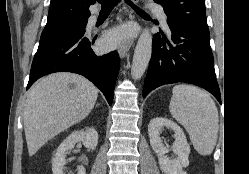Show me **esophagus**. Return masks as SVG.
I'll list each match as a JSON object with an SVG mask.
<instances>
[{"mask_svg": "<svg viewBox=\"0 0 249 174\" xmlns=\"http://www.w3.org/2000/svg\"><path fill=\"white\" fill-rule=\"evenodd\" d=\"M138 1L139 0H132V2H134V3H138ZM131 46H132V42L131 41H124L121 45H120V47H119V50H118V52H119V55H120V57H125L126 56V54H127V52L129 51V49L131 48Z\"/></svg>", "mask_w": 249, "mask_h": 174, "instance_id": "esophagus-1", "label": "esophagus"}]
</instances>
